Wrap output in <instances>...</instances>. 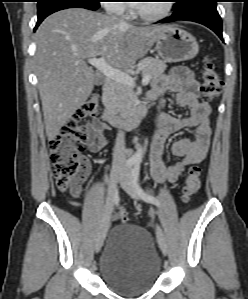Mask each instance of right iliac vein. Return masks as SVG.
<instances>
[{
  "instance_id": "obj_1",
  "label": "right iliac vein",
  "mask_w": 248,
  "mask_h": 299,
  "mask_svg": "<svg viewBox=\"0 0 248 299\" xmlns=\"http://www.w3.org/2000/svg\"><path fill=\"white\" fill-rule=\"evenodd\" d=\"M121 166L114 165L110 174L109 189L106 198V204L104 208V213L102 216L101 224L97 232L95 241V251L99 252L103 246L107 231L110 225L111 213L116 197V185L120 178Z\"/></svg>"
}]
</instances>
